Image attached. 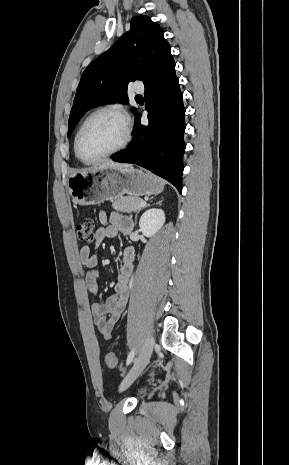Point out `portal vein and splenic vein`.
Listing matches in <instances>:
<instances>
[{
  "instance_id": "18ae733b",
  "label": "portal vein and splenic vein",
  "mask_w": 289,
  "mask_h": 465,
  "mask_svg": "<svg viewBox=\"0 0 289 465\" xmlns=\"http://www.w3.org/2000/svg\"><path fill=\"white\" fill-rule=\"evenodd\" d=\"M141 206H145L146 205V202L145 201H141Z\"/></svg>"
}]
</instances>
